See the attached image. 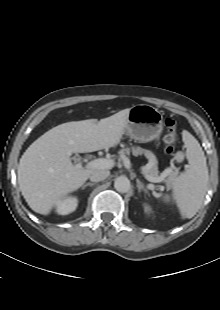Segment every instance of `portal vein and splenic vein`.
<instances>
[{
    "label": "portal vein and splenic vein",
    "instance_id": "1",
    "mask_svg": "<svg viewBox=\"0 0 220 310\" xmlns=\"http://www.w3.org/2000/svg\"><path fill=\"white\" fill-rule=\"evenodd\" d=\"M74 161L78 162L77 165L81 166L80 159L75 158ZM113 165H114L113 160L105 159V158H99V159H94V160L88 162L86 165V168H89V169H111L113 167ZM168 169H171V168H168ZM166 172H168V170ZM143 174L148 181L153 182V183L162 182L164 180L165 175H166V174H164V175L159 176V177H152V176L146 174L145 172H143Z\"/></svg>",
    "mask_w": 220,
    "mask_h": 310
}]
</instances>
